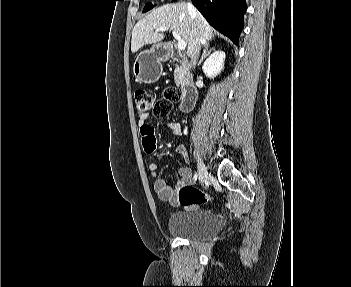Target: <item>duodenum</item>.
I'll list each match as a JSON object with an SVG mask.
<instances>
[{
    "mask_svg": "<svg viewBox=\"0 0 351 287\" xmlns=\"http://www.w3.org/2000/svg\"><path fill=\"white\" fill-rule=\"evenodd\" d=\"M157 53L163 59L179 61L184 69H188L189 67V58L184 53L179 51L175 43H168L161 46ZM183 93L184 96L182 102L180 103V110L183 112L190 111L196 103L198 96L197 88L192 79L184 78Z\"/></svg>",
    "mask_w": 351,
    "mask_h": 287,
    "instance_id": "duodenum-1",
    "label": "duodenum"
}]
</instances>
